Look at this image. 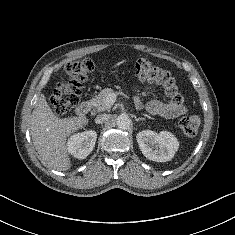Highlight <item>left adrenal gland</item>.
I'll return each mask as SVG.
<instances>
[{"label":"left adrenal gland","mask_w":235,"mask_h":235,"mask_svg":"<svg viewBox=\"0 0 235 235\" xmlns=\"http://www.w3.org/2000/svg\"><path fill=\"white\" fill-rule=\"evenodd\" d=\"M135 120L136 121H143V120H145V118H136Z\"/></svg>","instance_id":"a2214340"}]
</instances>
